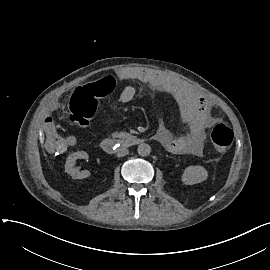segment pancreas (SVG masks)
I'll list each match as a JSON object with an SVG mask.
<instances>
[{"label": "pancreas", "mask_w": 270, "mask_h": 270, "mask_svg": "<svg viewBox=\"0 0 270 270\" xmlns=\"http://www.w3.org/2000/svg\"><path fill=\"white\" fill-rule=\"evenodd\" d=\"M123 135H125V133H123V132H120V133L114 132V133L112 134V137H119V138H121V137H123Z\"/></svg>", "instance_id": "obj_1"}]
</instances>
